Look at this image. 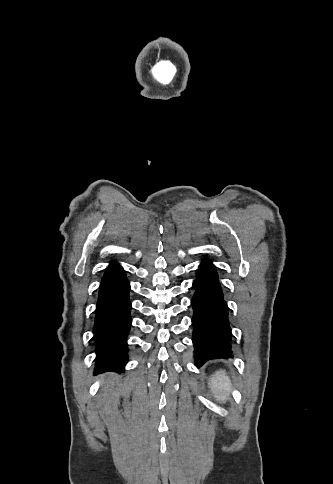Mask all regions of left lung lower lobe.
<instances>
[{"label": "left lung lower lobe", "instance_id": "obj_1", "mask_svg": "<svg viewBox=\"0 0 333 484\" xmlns=\"http://www.w3.org/2000/svg\"><path fill=\"white\" fill-rule=\"evenodd\" d=\"M192 298L194 357L196 366L217 358L232 355L231 328L228 307L219 283L215 266L203 261L197 269Z\"/></svg>", "mask_w": 333, "mask_h": 484}]
</instances>
